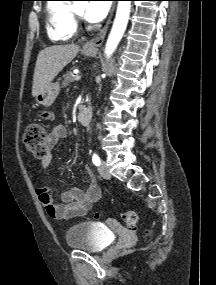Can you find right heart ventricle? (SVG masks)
<instances>
[{
  "label": "right heart ventricle",
  "mask_w": 216,
  "mask_h": 285,
  "mask_svg": "<svg viewBox=\"0 0 216 285\" xmlns=\"http://www.w3.org/2000/svg\"><path fill=\"white\" fill-rule=\"evenodd\" d=\"M46 31L54 43L71 40L76 33L71 5L62 0H51L46 5Z\"/></svg>",
  "instance_id": "obj_1"
}]
</instances>
